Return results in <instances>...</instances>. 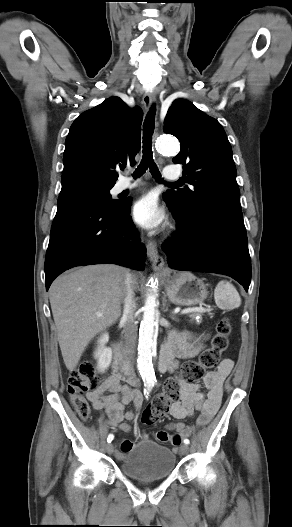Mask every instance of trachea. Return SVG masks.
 Instances as JSON below:
<instances>
[{"label": "trachea", "mask_w": 292, "mask_h": 527, "mask_svg": "<svg viewBox=\"0 0 292 527\" xmlns=\"http://www.w3.org/2000/svg\"><path fill=\"white\" fill-rule=\"evenodd\" d=\"M155 107L153 106L151 110L148 112L144 125H143V156L142 160L140 162V165L134 172L133 177L138 178L142 176L147 168L150 169V172L152 176L156 180H160V173L158 171L157 165L155 164L153 160V152H152V135L154 132V125H155ZM177 182L172 183L171 185H176Z\"/></svg>", "instance_id": "1"}]
</instances>
